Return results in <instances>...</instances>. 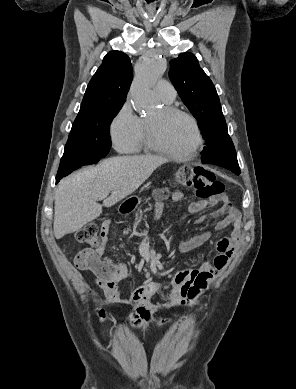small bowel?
<instances>
[{
	"label": "small bowel",
	"instance_id": "c3829d8e",
	"mask_svg": "<svg viewBox=\"0 0 296 389\" xmlns=\"http://www.w3.org/2000/svg\"><path fill=\"white\" fill-rule=\"evenodd\" d=\"M168 197H171L174 202H180L183 199V194L167 187L157 189L155 192L156 213L161 208V202ZM221 203V207L214 214V217L219 219L215 228L221 230L232 225L231 234L216 243V254L211 259L204 261L197 268H188L177 272L172 277L169 287L153 282L137 287L132 293L135 307L130 316V322L133 327L145 330L151 325L166 326L170 323V319L157 317L151 307V302L155 297L166 296L175 306L189 305L209 287L214 277L225 268L236 247L242 241L241 218L239 211L226 198H223ZM208 206L204 201H196L189 205L188 210L191 213H197ZM109 227V222H105L102 226V244L94 250L84 249L80 251L75 262L79 269L93 272L96 277V285L104 292L106 299L116 303L120 300L118 283L128 276V269L122 263L110 262L103 258L109 242ZM209 237L210 234L205 232L184 240L180 243L179 250L187 252L195 249L205 243ZM78 258H81L82 261H79Z\"/></svg>",
	"mask_w": 296,
	"mask_h": 389
}]
</instances>
